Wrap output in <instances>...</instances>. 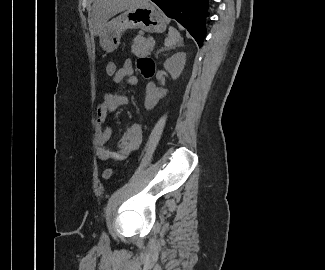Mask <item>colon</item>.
Returning <instances> with one entry per match:
<instances>
[{"instance_id":"obj_1","label":"colon","mask_w":325,"mask_h":270,"mask_svg":"<svg viewBox=\"0 0 325 270\" xmlns=\"http://www.w3.org/2000/svg\"><path fill=\"white\" fill-rule=\"evenodd\" d=\"M117 71V65L113 61H110L106 64L105 73L107 77L114 79L115 75L117 74ZM112 174L113 170L107 168L102 172V177L107 180L112 176Z\"/></svg>"}]
</instances>
